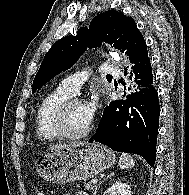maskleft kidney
<instances>
[{
	"instance_id": "1",
	"label": "left kidney",
	"mask_w": 189,
	"mask_h": 195,
	"mask_svg": "<svg viewBox=\"0 0 189 195\" xmlns=\"http://www.w3.org/2000/svg\"><path fill=\"white\" fill-rule=\"evenodd\" d=\"M107 195H131L130 186L127 183L116 182L106 191Z\"/></svg>"
}]
</instances>
